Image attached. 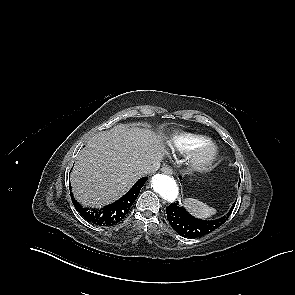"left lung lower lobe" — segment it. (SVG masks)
<instances>
[{
  "label": "left lung lower lobe",
  "mask_w": 295,
  "mask_h": 295,
  "mask_svg": "<svg viewBox=\"0 0 295 295\" xmlns=\"http://www.w3.org/2000/svg\"><path fill=\"white\" fill-rule=\"evenodd\" d=\"M234 206L235 204L225 216L208 221L191 216L184 208L179 206L177 202L166 207V214L170 225L177 233L187 238H198L211 233L224 224L231 215Z\"/></svg>",
  "instance_id": "0a47b994"
}]
</instances>
